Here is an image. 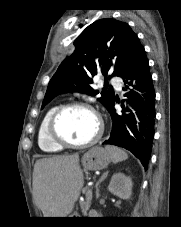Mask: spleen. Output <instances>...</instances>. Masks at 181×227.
I'll list each match as a JSON object with an SVG mask.
<instances>
[{
  "instance_id": "3e777b00",
  "label": "spleen",
  "mask_w": 181,
  "mask_h": 227,
  "mask_svg": "<svg viewBox=\"0 0 181 227\" xmlns=\"http://www.w3.org/2000/svg\"><path fill=\"white\" fill-rule=\"evenodd\" d=\"M105 149L111 156V160L113 163H118L128 158V154L119 147L107 145Z\"/></svg>"
}]
</instances>
